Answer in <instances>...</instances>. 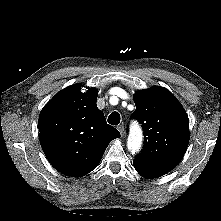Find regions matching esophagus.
<instances>
[{"label":"esophagus","mask_w":221,"mask_h":221,"mask_svg":"<svg viewBox=\"0 0 221 221\" xmlns=\"http://www.w3.org/2000/svg\"><path fill=\"white\" fill-rule=\"evenodd\" d=\"M117 128H118V130H119L121 136L123 137L124 134H125V128H124V126H123V125H119Z\"/></svg>","instance_id":"obj_1"}]
</instances>
